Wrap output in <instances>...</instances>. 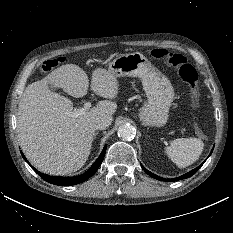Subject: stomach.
I'll return each instance as SVG.
<instances>
[{"label": "stomach", "instance_id": "0dacf381", "mask_svg": "<svg viewBox=\"0 0 233 233\" xmlns=\"http://www.w3.org/2000/svg\"><path fill=\"white\" fill-rule=\"evenodd\" d=\"M108 70L118 77H139L147 96V102L139 110V118L145 126H164L175 92L170 80L141 53L121 54L113 59Z\"/></svg>", "mask_w": 233, "mask_h": 233}]
</instances>
